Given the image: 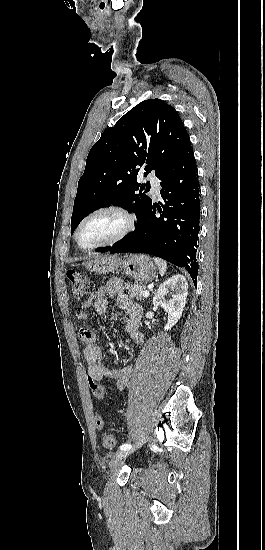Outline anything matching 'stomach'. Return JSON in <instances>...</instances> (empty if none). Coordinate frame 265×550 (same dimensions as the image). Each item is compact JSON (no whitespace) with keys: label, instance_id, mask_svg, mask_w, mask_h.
Wrapping results in <instances>:
<instances>
[{"label":"stomach","instance_id":"obj_1","mask_svg":"<svg viewBox=\"0 0 265 550\" xmlns=\"http://www.w3.org/2000/svg\"><path fill=\"white\" fill-rule=\"evenodd\" d=\"M83 265L95 274L114 273L122 269L126 275L140 282H150L156 273V266L152 259L141 254L123 257L95 255L85 261Z\"/></svg>","mask_w":265,"mask_h":550}]
</instances>
